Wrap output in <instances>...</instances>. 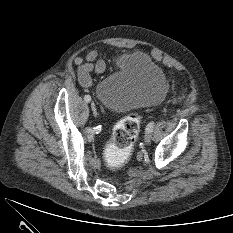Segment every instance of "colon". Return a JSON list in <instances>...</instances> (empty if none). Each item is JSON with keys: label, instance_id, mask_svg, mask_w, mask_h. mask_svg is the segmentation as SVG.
I'll return each instance as SVG.
<instances>
[{"label": "colon", "instance_id": "1", "mask_svg": "<svg viewBox=\"0 0 233 233\" xmlns=\"http://www.w3.org/2000/svg\"><path fill=\"white\" fill-rule=\"evenodd\" d=\"M140 129V117L131 113L120 120L106 146L105 160L111 169L120 168L129 158Z\"/></svg>", "mask_w": 233, "mask_h": 233}]
</instances>
